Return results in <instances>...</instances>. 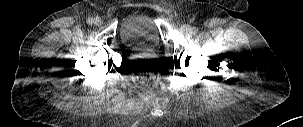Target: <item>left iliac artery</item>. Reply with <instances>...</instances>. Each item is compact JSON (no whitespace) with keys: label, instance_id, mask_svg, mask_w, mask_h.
<instances>
[{"label":"left iliac artery","instance_id":"left-iliac-artery-1","mask_svg":"<svg viewBox=\"0 0 303 127\" xmlns=\"http://www.w3.org/2000/svg\"><path fill=\"white\" fill-rule=\"evenodd\" d=\"M192 32H193V34H196V33L198 32V29L194 27V28L192 29Z\"/></svg>","mask_w":303,"mask_h":127}]
</instances>
